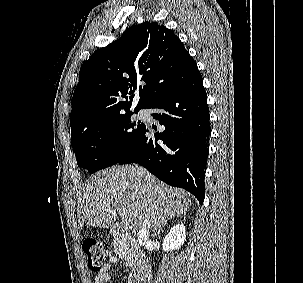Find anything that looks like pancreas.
<instances>
[{
    "instance_id": "pancreas-1",
    "label": "pancreas",
    "mask_w": 303,
    "mask_h": 283,
    "mask_svg": "<svg viewBox=\"0 0 303 283\" xmlns=\"http://www.w3.org/2000/svg\"><path fill=\"white\" fill-rule=\"evenodd\" d=\"M120 257L127 265H133L135 262L136 244L127 239L118 240L114 243Z\"/></svg>"
}]
</instances>
